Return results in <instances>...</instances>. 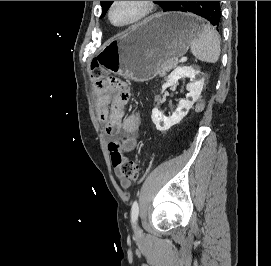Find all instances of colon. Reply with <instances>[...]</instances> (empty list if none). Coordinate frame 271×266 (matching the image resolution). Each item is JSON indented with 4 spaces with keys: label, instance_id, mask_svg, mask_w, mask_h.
Listing matches in <instances>:
<instances>
[{
    "label": "colon",
    "instance_id": "obj_1",
    "mask_svg": "<svg viewBox=\"0 0 271 266\" xmlns=\"http://www.w3.org/2000/svg\"><path fill=\"white\" fill-rule=\"evenodd\" d=\"M90 77L95 88L99 91L111 92L122 98L130 96L127 84L118 78L108 76L106 71L99 65L91 66ZM109 151L112 164L117 169L120 177L129 181L136 180L139 174L138 164L123 154L120 142H111Z\"/></svg>",
    "mask_w": 271,
    "mask_h": 266
}]
</instances>
